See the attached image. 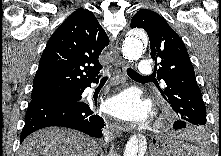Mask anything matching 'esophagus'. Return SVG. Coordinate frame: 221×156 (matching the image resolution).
Returning <instances> with one entry per match:
<instances>
[{"instance_id": "esophagus-1", "label": "esophagus", "mask_w": 221, "mask_h": 156, "mask_svg": "<svg viewBox=\"0 0 221 156\" xmlns=\"http://www.w3.org/2000/svg\"><path fill=\"white\" fill-rule=\"evenodd\" d=\"M113 55L115 58V69L116 72L119 76H121L122 78L125 76V71L127 68V64L124 61V59L121 57L120 52H119V48L117 46H115L113 48ZM112 131L114 134L116 135H120L122 132L126 131V128L122 125H112Z\"/></svg>"}]
</instances>
